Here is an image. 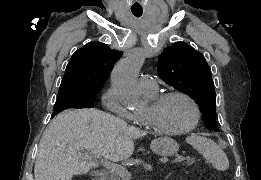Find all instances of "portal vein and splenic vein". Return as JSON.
<instances>
[{
  "label": "portal vein and splenic vein",
  "instance_id": "1",
  "mask_svg": "<svg viewBox=\"0 0 261 180\" xmlns=\"http://www.w3.org/2000/svg\"><path fill=\"white\" fill-rule=\"evenodd\" d=\"M83 150H87V148H83ZM96 158V156H94ZM178 163H184V158H173L171 161L172 165H177ZM105 164H108L109 170H112L114 174H117V176H120L122 180H131V174L126 170V168H119V166H116V164H111V162H105Z\"/></svg>",
  "mask_w": 261,
  "mask_h": 180
}]
</instances>
